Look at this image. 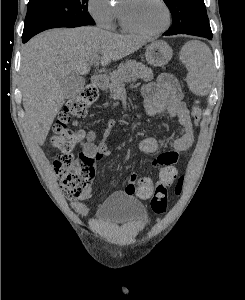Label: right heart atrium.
Instances as JSON below:
<instances>
[{"mask_svg":"<svg viewBox=\"0 0 245 300\" xmlns=\"http://www.w3.org/2000/svg\"><path fill=\"white\" fill-rule=\"evenodd\" d=\"M88 10L98 26L112 30L116 26L118 9L111 0H88Z\"/></svg>","mask_w":245,"mask_h":300,"instance_id":"obj_1","label":"right heart atrium"}]
</instances>
